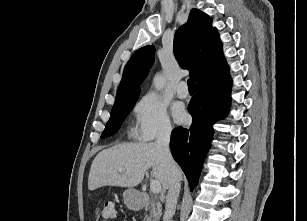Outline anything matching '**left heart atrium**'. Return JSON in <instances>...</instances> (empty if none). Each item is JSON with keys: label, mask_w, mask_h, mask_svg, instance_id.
<instances>
[{"label": "left heart atrium", "mask_w": 307, "mask_h": 221, "mask_svg": "<svg viewBox=\"0 0 307 221\" xmlns=\"http://www.w3.org/2000/svg\"><path fill=\"white\" fill-rule=\"evenodd\" d=\"M172 112L176 122L178 123H183L187 118L184 108L180 105H175Z\"/></svg>", "instance_id": "obj_1"}]
</instances>
